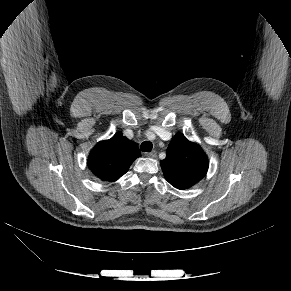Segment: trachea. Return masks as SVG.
I'll return each mask as SVG.
<instances>
[{
    "label": "trachea",
    "instance_id": "1",
    "mask_svg": "<svg viewBox=\"0 0 291 291\" xmlns=\"http://www.w3.org/2000/svg\"><path fill=\"white\" fill-rule=\"evenodd\" d=\"M153 148V145L150 141H144L142 142L141 146H140V149L141 151L143 152H150Z\"/></svg>",
    "mask_w": 291,
    "mask_h": 291
}]
</instances>
